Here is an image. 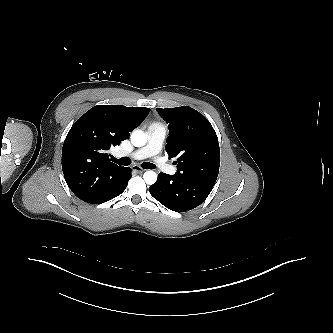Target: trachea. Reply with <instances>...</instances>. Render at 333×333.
<instances>
[{
  "mask_svg": "<svg viewBox=\"0 0 333 333\" xmlns=\"http://www.w3.org/2000/svg\"><path fill=\"white\" fill-rule=\"evenodd\" d=\"M111 160L119 165H123V166H128L131 163V159L129 157H122L120 159H117L115 157H112ZM142 167L144 169H155L156 166L152 163L149 162H144L142 163Z\"/></svg>",
  "mask_w": 333,
  "mask_h": 333,
  "instance_id": "obj_1",
  "label": "trachea"
}]
</instances>
